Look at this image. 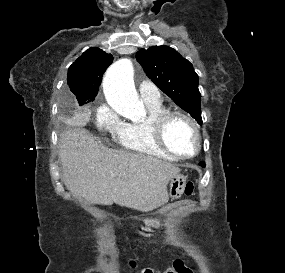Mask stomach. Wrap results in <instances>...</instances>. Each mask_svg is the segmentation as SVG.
<instances>
[{
  "instance_id": "1",
  "label": "stomach",
  "mask_w": 285,
  "mask_h": 273,
  "mask_svg": "<svg viewBox=\"0 0 285 273\" xmlns=\"http://www.w3.org/2000/svg\"><path fill=\"white\" fill-rule=\"evenodd\" d=\"M185 182L186 177L181 174H176L171 178L168 195L172 200L178 199L181 196ZM145 230L148 231L149 228H145Z\"/></svg>"
}]
</instances>
